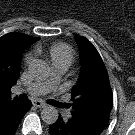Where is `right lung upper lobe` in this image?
I'll return each mask as SVG.
<instances>
[{
	"label": "right lung upper lobe",
	"instance_id": "1",
	"mask_svg": "<svg viewBox=\"0 0 135 135\" xmlns=\"http://www.w3.org/2000/svg\"><path fill=\"white\" fill-rule=\"evenodd\" d=\"M39 39L18 33L0 37V103L11 101V87L19 78L22 53Z\"/></svg>",
	"mask_w": 135,
	"mask_h": 135
}]
</instances>
